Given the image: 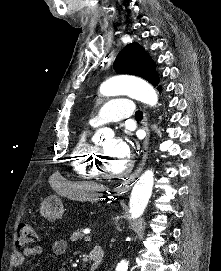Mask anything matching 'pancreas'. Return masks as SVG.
<instances>
[{
	"label": "pancreas",
	"instance_id": "pancreas-1",
	"mask_svg": "<svg viewBox=\"0 0 221 271\" xmlns=\"http://www.w3.org/2000/svg\"><path fill=\"white\" fill-rule=\"evenodd\" d=\"M84 235V233H81V229H76V231H73V237H71V242H81V237Z\"/></svg>",
	"mask_w": 221,
	"mask_h": 271
}]
</instances>
